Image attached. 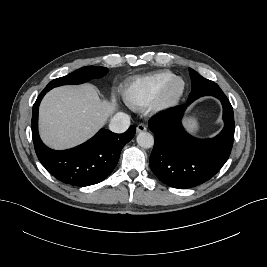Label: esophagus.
<instances>
[{
  "mask_svg": "<svg viewBox=\"0 0 267 267\" xmlns=\"http://www.w3.org/2000/svg\"><path fill=\"white\" fill-rule=\"evenodd\" d=\"M136 129H137V132L140 133V132L146 131L147 127L144 124H139Z\"/></svg>",
  "mask_w": 267,
  "mask_h": 267,
  "instance_id": "34e87169",
  "label": "esophagus"
}]
</instances>
